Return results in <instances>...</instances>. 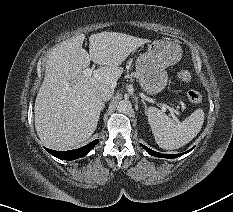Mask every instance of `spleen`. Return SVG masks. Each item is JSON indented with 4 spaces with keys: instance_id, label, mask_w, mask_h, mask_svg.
I'll list each match as a JSON object with an SVG mask.
<instances>
[{
    "instance_id": "1",
    "label": "spleen",
    "mask_w": 233,
    "mask_h": 212,
    "mask_svg": "<svg viewBox=\"0 0 233 212\" xmlns=\"http://www.w3.org/2000/svg\"><path fill=\"white\" fill-rule=\"evenodd\" d=\"M152 133L159 147L166 150L180 148L200 132L204 122L202 108L195 110L182 122H176L155 107H149L145 112Z\"/></svg>"
}]
</instances>
